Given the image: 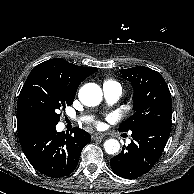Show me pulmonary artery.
I'll return each instance as SVG.
<instances>
[{
  "label": "pulmonary artery",
  "instance_id": "pulmonary-artery-1",
  "mask_svg": "<svg viewBox=\"0 0 194 194\" xmlns=\"http://www.w3.org/2000/svg\"><path fill=\"white\" fill-rule=\"evenodd\" d=\"M103 93L107 102L110 104H114L121 96V89L115 86L103 85ZM87 119L88 118L85 116L79 118L80 121Z\"/></svg>",
  "mask_w": 194,
  "mask_h": 194
}]
</instances>
